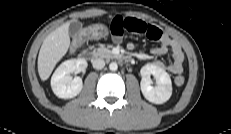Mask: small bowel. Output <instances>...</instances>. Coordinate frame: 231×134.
I'll use <instances>...</instances> for the list:
<instances>
[{"instance_id": "obj_1", "label": "small bowel", "mask_w": 231, "mask_h": 134, "mask_svg": "<svg viewBox=\"0 0 231 134\" xmlns=\"http://www.w3.org/2000/svg\"><path fill=\"white\" fill-rule=\"evenodd\" d=\"M110 31L114 43H119L125 31L144 35L149 39L159 41V45L151 50L153 55L161 56L170 52L172 60L165 65L161 61L153 62L159 68H165L172 74H180L183 71L184 54L179 43L164 34L157 26L144 22L135 17L115 16L104 24Z\"/></svg>"}]
</instances>
